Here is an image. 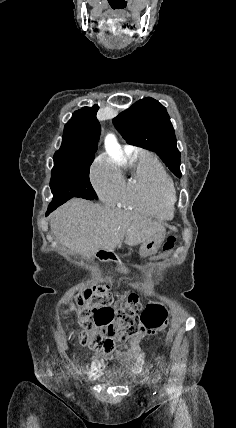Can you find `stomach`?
I'll list each match as a JSON object with an SVG mask.
<instances>
[{
	"instance_id": "obj_1",
	"label": "stomach",
	"mask_w": 236,
	"mask_h": 428,
	"mask_svg": "<svg viewBox=\"0 0 236 428\" xmlns=\"http://www.w3.org/2000/svg\"><path fill=\"white\" fill-rule=\"evenodd\" d=\"M165 236H156V238H151V240H147V242H143L140 246L139 254L146 258V256H153V254H157V250L159 246H161L162 242H164ZM124 271L123 269L121 270Z\"/></svg>"
}]
</instances>
